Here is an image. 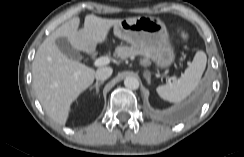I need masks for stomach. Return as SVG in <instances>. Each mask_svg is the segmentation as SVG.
Here are the masks:
<instances>
[{
    "label": "stomach",
    "instance_id": "stomach-1",
    "mask_svg": "<svg viewBox=\"0 0 244 157\" xmlns=\"http://www.w3.org/2000/svg\"><path fill=\"white\" fill-rule=\"evenodd\" d=\"M114 33L134 48L145 51L160 68L169 67L175 60L166 25L159 18L139 16L122 19L114 26Z\"/></svg>",
    "mask_w": 244,
    "mask_h": 157
}]
</instances>
